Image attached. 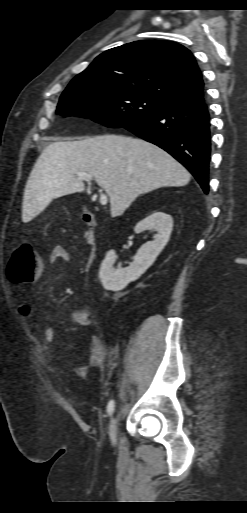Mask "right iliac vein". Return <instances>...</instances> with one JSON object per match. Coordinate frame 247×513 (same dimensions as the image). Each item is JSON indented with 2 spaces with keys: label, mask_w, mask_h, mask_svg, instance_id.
I'll use <instances>...</instances> for the list:
<instances>
[{
  "label": "right iliac vein",
  "mask_w": 247,
  "mask_h": 513,
  "mask_svg": "<svg viewBox=\"0 0 247 513\" xmlns=\"http://www.w3.org/2000/svg\"><path fill=\"white\" fill-rule=\"evenodd\" d=\"M118 416L117 415H113L112 418H111V421H110V429H109V435H110V440H111V443L113 445L116 444V433H117V426H118Z\"/></svg>",
  "instance_id": "63e3f726"
}]
</instances>
